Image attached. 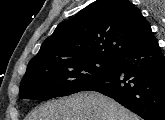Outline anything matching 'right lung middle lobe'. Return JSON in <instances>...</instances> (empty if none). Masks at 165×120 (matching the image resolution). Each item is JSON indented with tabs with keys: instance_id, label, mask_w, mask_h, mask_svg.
<instances>
[{
	"instance_id": "right-lung-middle-lobe-1",
	"label": "right lung middle lobe",
	"mask_w": 165,
	"mask_h": 120,
	"mask_svg": "<svg viewBox=\"0 0 165 120\" xmlns=\"http://www.w3.org/2000/svg\"><path fill=\"white\" fill-rule=\"evenodd\" d=\"M113 61L74 58L43 62L27 67L20 84L19 97L45 101L79 91L108 75Z\"/></svg>"
}]
</instances>
